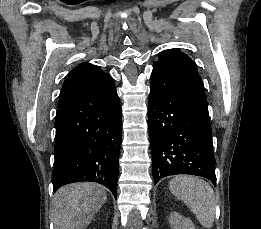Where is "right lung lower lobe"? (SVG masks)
<instances>
[{
    "instance_id": "right-lung-lower-lobe-1",
    "label": "right lung lower lobe",
    "mask_w": 261,
    "mask_h": 229,
    "mask_svg": "<svg viewBox=\"0 0 261 229\" xmlns=\"http://www.w3.org/2000/svg\"><path fill=\"white\" fill-rule=\"evenodd\" d=\"M121 107L108 75L59 107L56 115L53 189L96 182L117 197Z\"/></svg>"
}]
</instances>
